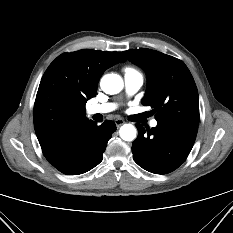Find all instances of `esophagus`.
Returning <instances> with one entry per match:
<instances>
[{
  "label": "esophagus",
  "instance_id": "1",
  "mask_svg": "<svg viewBox=\"0 0 233 233\" xmlns=\"http://www.w3.org/2000/svg\"><path fill=\"white\" fill-rule=\"evenodd\" d=\"M124 123H125L124 120L121 119V118H118V119L115 120V124H116L117 127H120Z\"/></svg>",
  "mask_w": 233,
  "mask_h": 233
}]
</instances>
